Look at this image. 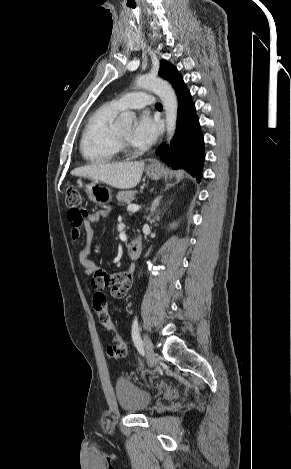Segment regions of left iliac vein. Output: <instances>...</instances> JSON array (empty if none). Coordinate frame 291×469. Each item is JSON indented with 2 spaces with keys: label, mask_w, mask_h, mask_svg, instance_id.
I'll list each match as a JSON object with an SVG mask.
<instances>
[{
  "label": "left iliac vein",
  "mask_w": 291,
  "mask_h": 469,
  "mask_svg": "<svg viewBox=\"0 0 291 469\" xmlns=\"http://www.w3.org/2000/svg\"><path fill=\"white\" fill-rule=\"evenodd\" d=\"M143 341H144V345L147 351L150 364L153 366L157 360L156 353L154 352V349H153V344L147 335H144Z\"/></svg>",
  "instance_id": "left-iliac-vein-1"
}]
</instances>
